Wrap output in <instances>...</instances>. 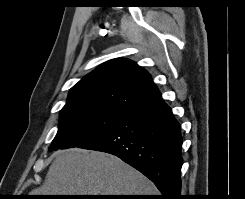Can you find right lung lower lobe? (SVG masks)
<instances>
[{
    "label": "right lung lower lobe",
    "instance_id": "obj_1",
    "mask_svg": "<svg viewBox=\"0 0 245 199\" xmlns=\"http://www.w3.org/2000/svg\"><path fill=\"white\" fill-rule=\"evenodd\" d=\"M181 146L180 125L161 101L79 147L116 155L153 181L160 199H181Z\"/></svg>",
    "mask_w": 245,
    "mask_h": 199
}]
</instances>
